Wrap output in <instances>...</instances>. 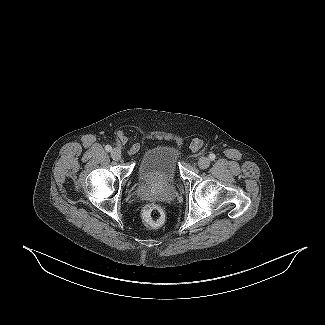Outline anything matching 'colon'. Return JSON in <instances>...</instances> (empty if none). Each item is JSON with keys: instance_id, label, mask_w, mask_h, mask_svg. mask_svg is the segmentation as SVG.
<instances>
[{"instance_id": "5ec220e1", "label": "colon", "mask_w": 325, "mask_h": 325, "mask_svg": "<svg viewBox=\"0 0 325 325\" xmlns=\"http://www.w3.org/2000/svg\"><path fill=\"white\" fill-rule=\"evenodd\" d=\"M194 148H199V142L194 143ZM144 221L152 227L159 226L163 223L165 214L161 206L155 203L147 204L142 210Z\"/></svg>"}]
</instances>
